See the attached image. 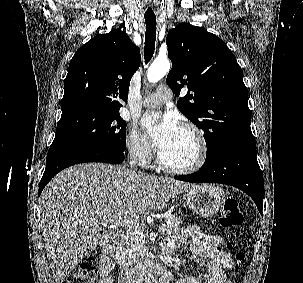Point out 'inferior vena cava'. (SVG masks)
<instances>
[{
  "label": "inferior vena cava",
  "mask_w": 303,
  "mask_h": 283,
  "mask_svg": "<svg viewBox=\"0 0 303 283\" xmlns=\"http://www.w3.org/2000/svg\"><path fill=\"white\" fill-rule=\"evenodd\" d=\"M137 152L136 151H133L130 153V162H129V165L131 166V168H134L136 165H137Z\"/></svg>",
  "instance_id": "602c4592"
}]
</instances>
